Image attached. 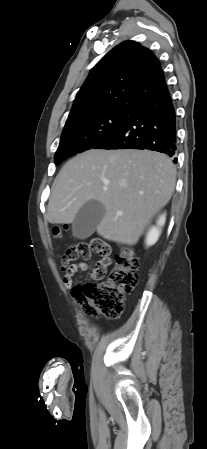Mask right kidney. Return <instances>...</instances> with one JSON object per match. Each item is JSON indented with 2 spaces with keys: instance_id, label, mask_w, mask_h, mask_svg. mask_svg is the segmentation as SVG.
<instances>
[{
  "instance_id": "1",
  "label": "right kidney",
  "mask_w": 207,
  "mask_h": 449,
  "mask_svg": "<svg viewBox=\"0 0 207 449\" xmlns=\"http://www.w3.org/2000/svg\"><path fill=\"white\" fill-rule=\"evenodd\" d=\"M166 214L160 215L159 219L157 220L156 226H152L146 236V246H152L154 245L157 240L159 239V236L161 234V228L165 224Z\"/></svg>"
}]
</instances>
